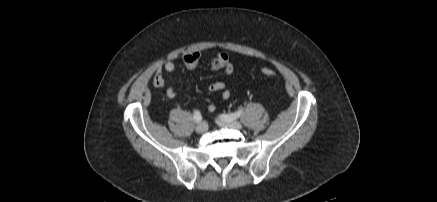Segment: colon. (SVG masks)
Returning <instances> with one entry per match:
<instances>
[{"instance_id": "1", "label": "colon", "mask_w": 437, "mask_h": 202, "mask_svg": "<svg viewBox=\"0 0 437 202\" xmlns=\"http://www.w3.org/2000/svg\"><path fill=\"white\" fill-rule=\"evenodd\" d=\"M261 73L266 77H275L276 76V72L273 69L267 68V67L262 68Z\"/></svg>"}]
</instances>
